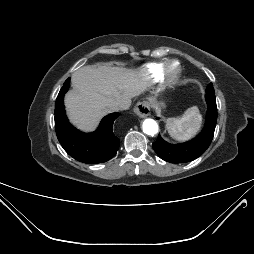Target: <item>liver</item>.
<instances>
[{
  "label": "liver",
  "mask_w": 254,
  "mask_h": 254,
  "mask_svg": "<svg viewBox=\"0 0 254 254\" xmlns=\"http://www.w3.org/2000/svg\"><path fill=\"white\" fill-rule=\"evenodd\" d=\"M71 83L65 105L70 121L84 131L93 130L103 116L114 111L112 104L131 102L149 87L141 71L109 65L82 67L72 74Z\"/></svg>",
  "instance_id": "obj_1"
}]
</instances>
